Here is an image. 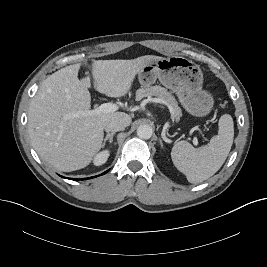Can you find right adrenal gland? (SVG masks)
Returning a JSON list of instances; mask_svg holds the SVG:
<instances>
[{"instance_id":"obj_1","label":"right adrenal gland","mask_w":267,"mask_h":267,"mask_svg":"<svg viewBox=\"0 0 267 267\" xmlns=\"http://www.w3.org/2000/svg\"><path fill=\"white\" fill-rule=\"evenodd\" d=\"M115 135V132H112V133H108L106 135V137L104 138V141L102 143V146L104 147L105 146V143L107 140H109V143H112L113 142V136Z\"/></svg>"}]
</instances>
